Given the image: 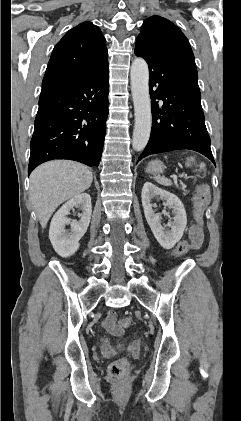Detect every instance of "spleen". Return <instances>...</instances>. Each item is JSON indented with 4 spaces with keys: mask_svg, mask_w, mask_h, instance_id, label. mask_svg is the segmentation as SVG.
Here are the masks:
<instances>
[{
    "mask_svg": "<svg viewBox=\"0 0 241 421\" xmlns=\"http://www.w3.org/2000/svg\"><path fill=\"white\" fill-rule=\"evenodd\" d=\"M205 164L202 162L200 163V170L204 169ZM156 182L163 185V186H171L172 185V181L168 178H165L164 176H155L154 177Z\"/></svg>",
    "mask_w": 241,
    "mask_h": 421,
    "instance_id": "3e777b00",
    "label": "spleen"
}]
</instances>
